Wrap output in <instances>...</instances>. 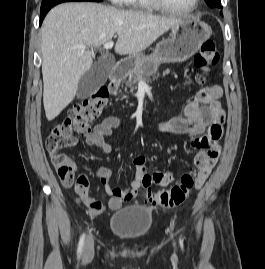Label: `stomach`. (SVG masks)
Returning <instances> with one entry per match:
<instances>
[{
	"mask_svg": "<svg viewBox=\"0 0 265 269\" xmlns=\"http://www.w3.org/2000/svg\"><path fill=\"white\" fill-rule=\"evenodd\" d=\"M211 34L207 23L191 18L183 19L172 27L170 37L158 43L152 54L129 57L124 66L150 76L161 63H180L192 57Z\"/></svg>",
	"mask_w": 265,
	"mask_h": 269,
	"instance_id": "stomach-1",
	"label": "stomach"
}]
</instances>
